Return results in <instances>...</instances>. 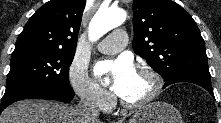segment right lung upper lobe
I'll use <instances>...</instances> for the list:
<instances>
[{
  "mask_svg": "<svg viewBox=\"0 0 221 123\" xmlns=\"http://www.w3.org/2000/svg\"><path fill=\"white\" fill-rule=\"evenodd\" d=\"M86 0H51L26 23L15 50L44 49L75 52Z\"/></svg>",
  "mask_w": 221,
  "mask_h": 123,
  "instance_id": "1",
  "label": "right lung upper lobe"
}]
</instances>
